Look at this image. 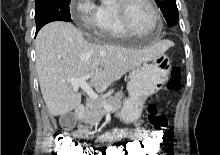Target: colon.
Here are the masks:
<instances>
[{
    "label": "colon",
    "mask_w": 220,
    "mask_h": 155,
    "mask_svg": "<svg viewBox=\"0 0 220 155\" xmlns=\"http://www.w3.org/2000/svg\"><path fill=\"white\" fill-rule=\"evenodd\" d=\"M181 88V71L174 67L170 71L166 83L168 91H179ZM149 125L146 130H151L145 139H130L124 146L105 147L106 144L87 145L79 144L71 139L60 137L55 144L59 155H160L163 144H168V123L165 115L156 105L148 108Z\"/></svg>",
    "instance_id": "5ec220e1"
}]
</instances>
